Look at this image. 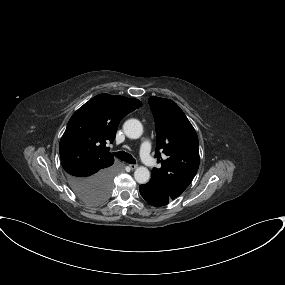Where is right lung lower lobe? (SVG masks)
<instances>
[{"label":"right lung lower lobe","instance_id":"98d812e1","mask_svg":"<svg viewBox=\"0 0 285 285\" xmlns=\"http://www.w3.org/2000/svg\"><path fill=\"white\" fill-rule=\"evenodd\" d=\"M114 175L112 164L103 168L83 165L66 171L68 183L75 193L90 188L111 189Z\"/></svg>","mask_w":285,"mask_h":285}]
</instances>
